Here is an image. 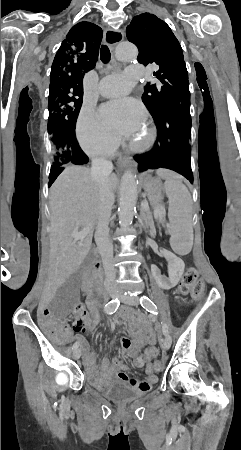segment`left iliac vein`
Returning <instances> with one entry per match:
<instances>
[{
  "label": "left iliac vein",
  "instance_id": "left-iliac-vein-1",
  "mask_svg": "<svg viewBox=\"0 0 241 450\" xmlns=\"http://www.w3.org/2000/svg\"><path fill=\"white\" fill-rule=\"evenodd\" d=\"M119 299L129 305H134L137 306L139 304V299L136 296H132V295H127V294H120L119 295ZM171 345V338L169 336H166L163 340H162V348L165 350H168L170 348Z\"/></svg>",
  "mask_w": 241,
  "mask_h": 450
}]
</instances>
